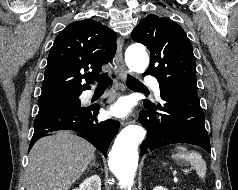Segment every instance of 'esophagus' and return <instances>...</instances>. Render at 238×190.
Here are the masks:
<instances>
[{"mask_svg":"<svg viewBox=\"0 0 238 190\" xmlns=\"http://www.w3.org/2000/svg\"><path fill=\"white\" fill-rule=\"evenodd\" d=\"M122 48H123V39L121 37H119L117 39V51L115 54V62H116V67H117L119 76L124 80L126 78L127 74H130V71L125 66ZM132 123H134V120L129 119L126 121H122L121 125L125 126V125H129Z\"/></svg>","mask_w":238,"mask_h":190,"instance_id":"1","label":"esophagus"}]
</instances>
